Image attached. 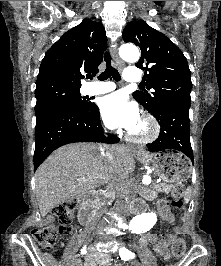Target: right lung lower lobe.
I'll use <instances>...</instances> for the list:
<instances>
[{
	"label": "right lung lower lobe",
	"instance_id": "1",
	"mask_svg": "<svg viewBox=\"0 0 221 266\" xmlns=\"http://www.w3.org/2000/svg\"><path fill=\"white\" fill-rule=\"evenodd\" d=\"M104 136L98 106L91 103L84 111L59 110L36 121L34 171L58 147L74 142L117 143L112 134Z\"/></svg>",
	"mask_w": 221,
	"mask_h": 266
}]
</instances>
